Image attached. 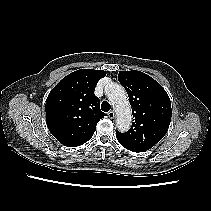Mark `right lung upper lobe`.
<instances>
[{"instance_id":"obj_1","label":"right lung upper lobe","mask_w":211,"mask_h":211,"mask_svg":"<svg viewBox=\"0 0 211 211\" xmlns=\"http://www.w3.org/2000/svg\"><path fill=\"white\" fill-rule=\"evenodd\" d=\"M105 75L103 70L81 69L64 77L49 93L46 123L64 146L77 147L89 141L105 116L94 95L96 84Z\"/></svg>"}]
</instances>
